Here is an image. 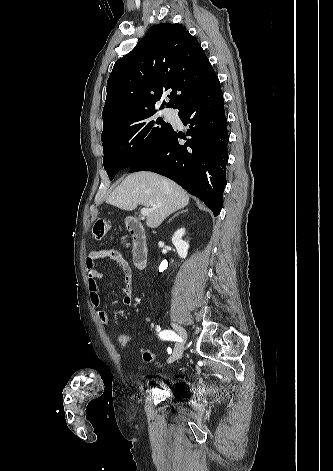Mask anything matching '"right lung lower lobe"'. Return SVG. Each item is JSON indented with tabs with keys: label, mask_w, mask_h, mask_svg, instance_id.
I'll return each instance as SVG.
<instances>
[{
	"label": "right lung lower lobe",
	"mask_w": 333,
	"mask_h": 471,
	"mask_svg": "<svg viewBox=\"0 0 333 471\" xmlns=\"http://www.w3.org/2000/svg\"><path fill=\"white\" fill-rule=\"evenodd\" d=\"M189 139L171 127L166 136L129 172L149 170L166 176L201 199L219 215L226 186L228 160L227 118L223 93L216 74L197 85L176 107ZM185 139V138H183Z\"/></svg>",
	"instance_id": "obj_1"
}]
</instances>
